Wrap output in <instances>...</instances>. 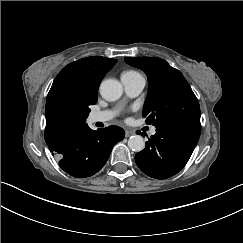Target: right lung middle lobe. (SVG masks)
<instances>
[{
	"instance_id": "obj_1",
	"label": "right lung middle lobe",
	"mask_w": 243,
	"mask_h": 243,
	"mask_svg": "<svg viewBox=\"0 0 243 243\" xmlns=\"http://www.w3.org/2000/svg\"><path fill=\"white\" fill-rule=\"evenodd\" d=\"M97 102V98L93 99H81L70 106L65 110L66 119L75 125L85 124L86 118L90 112V105H93Z\"/></svg>"
}]
</instances>
